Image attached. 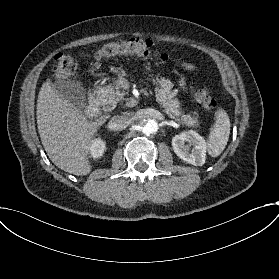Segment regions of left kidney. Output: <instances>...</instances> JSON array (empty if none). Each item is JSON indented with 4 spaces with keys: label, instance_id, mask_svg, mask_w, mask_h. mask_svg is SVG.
<instances>
[{
    "label": "left kidney",
    "instance_id": "5707ae66",
    "mask_svg": "<svg viewBox=\"0 0 279 279\" xmlns=\"http://www.w3.org/2000/svg\"><path fill=\"white\" fill-rule=\"evenodd\" d=\"M186 142L188 144H185ZM172 147L175 154L185 162L194 166L204 165L207 144L205 139L194 130L175 135L172 138Z\"/></svg>",
    "mask_w": 279,
    "mask_h": 279
}]
</instances>
